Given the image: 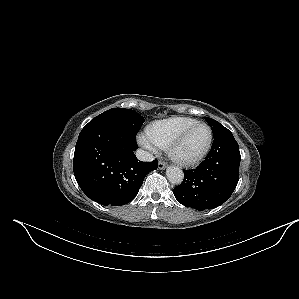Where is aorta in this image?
Here are the masks:
<instances>
[{"mask_svg": "<svg viewBox=\"0 0 299 299\" xmlns=\"http://www.w3.org/2000/svg\"><path fill=\"white\" fill-rule=\"evenodd\" d=\"M166 175L169 182L176 185L181 184L184 178L183 171L177 166H169L166 169Z\"/></svg>", "mask_w": 299, "mask_h": 299, "instance_id": "1", "label": "aorta"}]
</instances>
